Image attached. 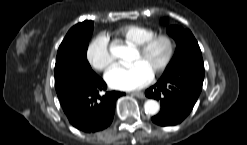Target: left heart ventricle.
Returning a JSON list of instances; mask_svg holds the SVG:
<instances>
[{"instance_id": "left-heart-ventricle-1", "label": "left heart ventricle", "mask_w": 247, "mask_h": 145, "mask_svg": "<svg viewBox=\"0 0 247 145\" xmlns=\"http://www.w3.org/2000/svg\"><path fill=\"white\" fill-rule=\"evenodd\" d=\"M167 52V46L163 41H157L146 53L140 54L134 51L131 63L140 62L153 72L163 61Z\"/></svg>"}]
</instances>
